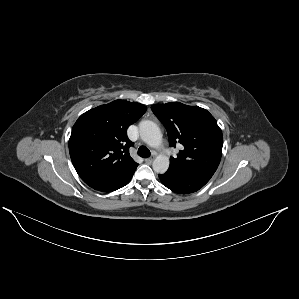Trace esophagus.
<instances>
[{"label": "esophagus", "instance_id": "34e87169", "mask_svg": "<svg viewBox=\"0 0 299 299\" xmlns=\"http://www.w3.org/2000/svg\"><path fill=\"white\" fill-rule=\"evenodd\" d=\"M153 162V158H146L145 163L151 164Z\"/></svg>", "mask_w": 299, "mask_h": 299}]
</instances>
